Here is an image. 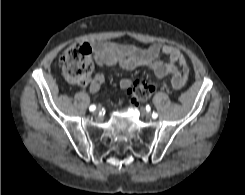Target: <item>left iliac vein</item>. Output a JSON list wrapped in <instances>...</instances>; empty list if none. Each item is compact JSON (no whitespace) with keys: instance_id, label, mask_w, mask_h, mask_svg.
Returning a JSON list of instances; mask_svg holds the SVG:
<instances>
[{"instance_id":"left-iliac-vein-1","label":"left iliac vein","mask_w":245,"mask_h":195,"mask_svg":"<svg viewBox=\"0 0 245 195\" xmlns=\"http://www.w3.org/2000/svg\"><path fill=\"white\" fill-rule=\"evenodd\" d=\"M146 116L149 118V117H151V114L150 113H147Z\"/></svg>"}]
</instances>
